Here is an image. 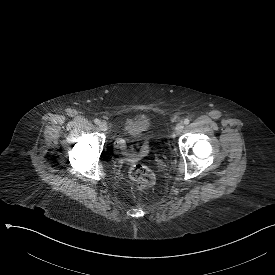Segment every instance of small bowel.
Masks as SVG:
<instances>
[{
  "mask_svg": "<svg viewBox=\"0 0 275 275\" xmlns=\"http://www.w3.org/2000/svg\"><path fill=\"white\" fill-rule=\"evenodd\" d=\"M143 139L145 141H150L152 139V134L150 132H145L143 134ZM116 148L126 157L129 162H136L145 156L148 152V144L145 142L138 152L134 151L129 147L127 140L120 138L116 141Z\"/></svg>",
  "mask_w": 275,
  "mask_h": 275,
  "instance_id": "1",
  "label": "small bowel"
}]
</instances>
